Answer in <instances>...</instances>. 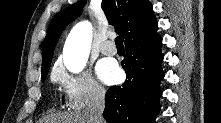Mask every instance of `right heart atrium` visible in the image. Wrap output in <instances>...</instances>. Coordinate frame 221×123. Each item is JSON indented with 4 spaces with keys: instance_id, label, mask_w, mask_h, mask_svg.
<instances>
[{
    "instance_id": "obj_1",
    "label": "right heart atrium",
    "mask_w": 221,
    "mask_h": 123,
    "mask_svg": "<svg viewBox=\"0 0 221 123\" xmlns=\"http://www.w3.org/2000/svg\"><path fill=\"white\" fill-rule=\"evenodd\" d=\"M52 79L61 85L70 109L81 110L104 100L105 89L88 70L71 74L63 67L57 66L52 73Z\"/></svg>"
}]
</instances>
